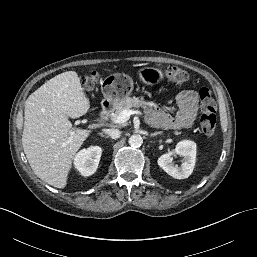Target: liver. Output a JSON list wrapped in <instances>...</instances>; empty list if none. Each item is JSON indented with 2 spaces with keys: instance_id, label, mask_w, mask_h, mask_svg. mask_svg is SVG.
<instances>
[{
  "instance_id": "liver-1",
  "label": "liver",
  "mask_w": 257,
  "mask_h": 257,
  "mask_svg": "<svg viewBox=\"0 0 257 257\" xmlns=\"http://www.w3.org/2000/svg\"><path fill=\"white\" fill-rule=\"evenodd\" d=\"M89 109L75 71L53 77L27 98L22 146L35 175L47 184L67 185L73 159L91 133L72 128L68 118H79Z\"/></svg>"
}]
</instances>
